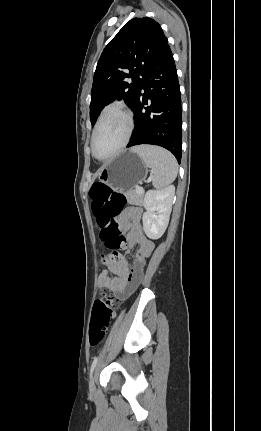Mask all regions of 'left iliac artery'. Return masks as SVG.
I'll list each match as a JSON object with an SVG mask.
<instances>
[{"label":"left iliac artery","instance_id":"obj_1","mask_svg":"<svg viewBox=\"0 0 261 431\" xmlns=\"http://www.w3.org/2000/svg\"><path fill=\"white\" fill-rule=\"evenodd\" d=\"M97 362H98V357H95L94 360H93V362H92V364H91L90 376H92V373H93V371H94V369L96 367Z\"/></svg>","mask_w":261,"mask_h":431}]
</instances>
